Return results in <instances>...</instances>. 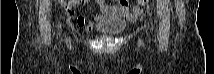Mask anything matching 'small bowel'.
Listing matches in <instances>:
<instances>
[{"instance_id":"1","label":"small bowel","mask_w":214,"mask_h":74,"mask_svg":"<svg viewBox=\"0 0 214 74\" xmlns=\"http://www.w3.org/2000/svg\"><path fill=\"white\" fill-rule=\"evenodd\" d=\"M80 1H77L73 3L70 1V9L68 14L71 16H74L75 13L71 9L76 3H79ZM96 4L99 8V13L95 14L93 17L87 19L83 15H78L76 17V23L77 25L82 28L86 32H90L93 30V28L101 21L103 14H117L118 16L122 18H136L140 15L141 13V7L139 5H135L132 7L131 10L128 9V4L127 3H120V6L117 7H112L106 4L104 1H96Z\"/></svg>"}]
</instances>
